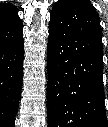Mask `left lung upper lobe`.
Masks as SVG:
<instances>
[{"label":"left lung upper lobe","mask_w":108,"mask_h":127,"mask_svg":"<svg viewBox=\"0 0 108 127\" xmlns=\"http://www.w3.org/2000/svg\"><path fill=\"white\" fill-rule=\"evenodd\" d=\"M74 72V67H71L69 68V70L66 71V74H68L70 80L73 78V75L75 76Z\"/></svg>","instance_id":"1"}]
</instances>
